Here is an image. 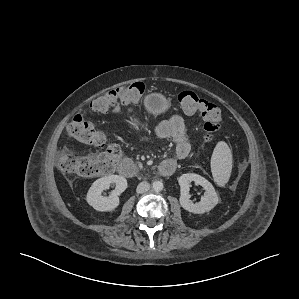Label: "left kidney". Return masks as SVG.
I'll use <instances>...</instances> for the list:
<instances>
[{
    "mask_svg": "<svg viewBox=\"0 0 299 299\" xmlns=\"http://www.w3.org/2000/svg\"><path fill=\"white\" fill-rule=\"evenodd\" d=\"M191 182L205 189L201 201L195 204L190 200L189 195ZM178 183L181 188L179 201L185 210L194 214H202L212 210L218 204L219 199L213 185L204 177L195 173H186L178 178Z\"/></svg>",
    "mask_w": 299,
    "mask_h": 299,
    "instance_id": "1",
    "label": "left kidney"
}]
</instances>
